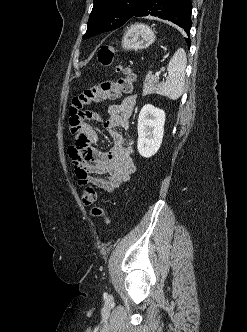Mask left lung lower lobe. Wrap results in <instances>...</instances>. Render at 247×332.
I'll return each mask as SVG.
<instances>
[{"label":"left lung lower lobe","instance_id":"1","mask_svg":"<svg viewBox=\"0 0 247 332\" xmlns=\"http://www.w3.org/2000/svg\"><path fill=\"white\" fill-rule=\"evenodd\" d=\"M192 3L191 0H146L133 17L155 16L169 20L190 35ZM190 47V38H185Z\"/></svg>","mask_w":247,"mask_h":332}]
</instances>
